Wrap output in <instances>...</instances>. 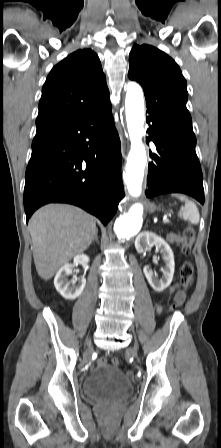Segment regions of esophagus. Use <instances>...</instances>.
<instances>
[{
    "label": "esophagus",
    "mask_w": 221,
    "mask_h": 448,
    "mask_svg": "<svg viewBox=\"0 0 221 448\" xmlns=\"http://www.w3.org/2000/svg\"><path fill=\"white\" fill-rule=\"evenodd\" d=\"M122 154H123V157H125V152H124V149H122Z\"/></svg>",
    "instance_id": "obj_1"
}]
</instances>
